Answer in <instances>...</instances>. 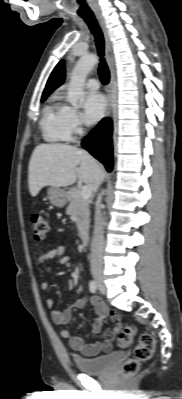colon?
I'll return each instance as SVG.
<instances>
[{
    "mask_svg": "<svg viewBox=\"0 0 182 399\" xmlns=\"http://www.w3.org/2000/svg\"><path fill=\"white\" fill-rule=\"evenodd\" d=\"M31 231L36 241H42L49 231L47 220L39 213H34L31 217ZM136 335V328L132 325H125L119 333V344L123 347L129 346ZM155 340L151 334L145 333L140 336L139 342L135 347L134 357L127 360L122 367L125 375L135 374L142 362L149 360L154 352Z\"/></svg>",
    "mask_w": 182,
    "mask_h": 399,
    "instance_id": "5ec220e1",
    "label": "colon"
}]
</instances>
